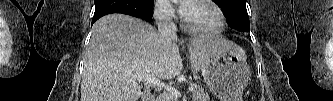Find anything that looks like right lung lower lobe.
<instances>
[{
  "instance_id": "1",
  "label": "right lung lower lobe",
  "mask_w": 333,
  "mask_h": 101,
  "mask_svg": "<svg viewBox=\"0 0 333 101\" xmlns=\"http://www.w3.org/2000/svg\"><path fill=\"white\" fill-rule=\"evenodd\" d=\"M94 3L95 13L92 24L110 13L127 14L147 21L152 19L153 6H149L145 0H94Z\"/></svg>"
}]
</instances>
